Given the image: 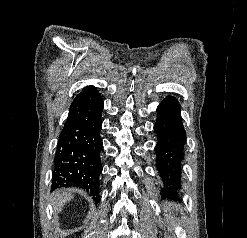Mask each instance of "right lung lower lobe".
Instances as JSON below:
<instances>
[{
	"label": "right lung lower lobe",
	"mask_w": 247,
	"mask_h": 238,
	"mask_svg": "<svg viewBox=\"0 0 247 238\" xmlns=\"http://www.w3.org/2000/svg\"><path fill=\"white\" fill-rule=\"evenodd\" d=\"M102 110L103 100L94 86L84 88L73 100L57 146L54 188L79 187L100 199Z\"/></svg>",
	"instance_id": "right-lung-lower-lobe-1"
}]
</instances>
